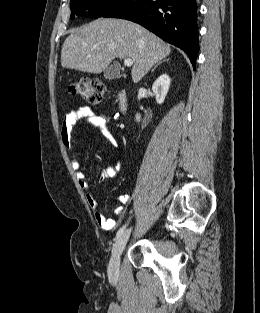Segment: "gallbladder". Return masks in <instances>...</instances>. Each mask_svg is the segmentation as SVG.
<instances>
[{
	"mask_svg": "<svg viewBox=\"0 0 260 313\" xmlns=\"http://www.w3.org/2000/svg\"><path fill=\"white\" fill-rule=\"evenodd\" d=\"M119 76V71L116 65L109 66L104 71V77L107 80H115Z\"/></svg>",
	"mask_w": 260,
	"mask_h": 313,
	"instance_id": "gallbladder-1",
	"label": "gallbladder"
}]
</instances>
